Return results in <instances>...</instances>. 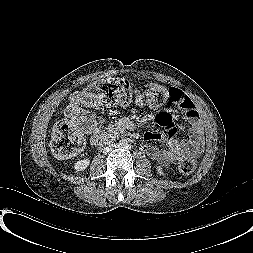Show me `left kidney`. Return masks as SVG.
Masks as SVG:
<instances>
[{"mask_svg": "<svg viewBox=\"0 0 253 253\" xmlns=\"http://www.w3.org/2000/svg\"><path fill=\"white\" fill-rule=\"evenodd\" d=\"M156 169L158 174L163 175V170L160 166H158Z\"/></svg>", "mask_w": 253, "mask_h": 253, "instance_id": "5707ae66", "label": "left kidney"}]
</instances>
